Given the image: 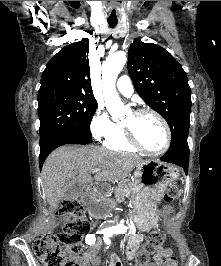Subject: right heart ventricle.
<instances>
[{
	"label": "right heart ventricle",
	"instance_id": "right-heart-ventricle-1",
	"mask_svg": "<svg viewBox=\"0 0 221 266\" xmlns=\"http://www.w3.org/2000/svg\"><path fill=\"white\" fill-rule=\"evenodd\" d=\"M104 146L117 152H135L136 149L129 143L121 125H116L115 131L104 140Z\"/></svg>",
	"mask_w": 221,
	"mask_h": 266
}]
</instances>
